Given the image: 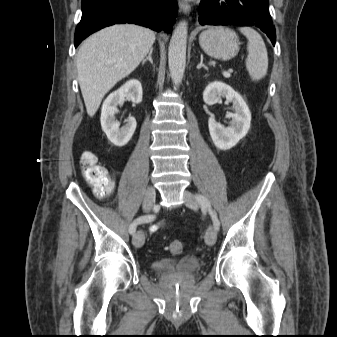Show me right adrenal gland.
<instances>
[{"label":"right adrenal gland","instance_id":"right-adrenal-gland-1","mask_svg":"<svg viewBox=\"0 0 337 337\" xmlns=\"http://www.w3.org/2000/svg\"><path fill=\"white\" fill-rule=\"evenodd\" d=\"M152 53H153V48L150 49L148 57L142 60V64H145L147 61H150V63L153 64Z\"/></svg>","mask_w":337,"mask_h":337}]
</instances>
